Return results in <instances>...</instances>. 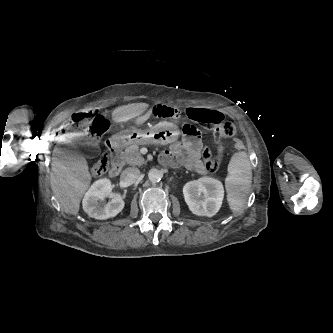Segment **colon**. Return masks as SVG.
<instances>
[{
	"label": "colon",
	"mask_w": 333,
	"mask_h": 333,
	"mask_svg": "<svg viewBox=\"0 0 333 333\" xmlns=\"http://www.w3.org/2000/svg\"><path fill=\"white\" fill-rule=\"evenodd\" d=\"M187 114L191 119L202 122V112L200 110L191 108L187 111ZM151 115L154 118H170L175 117L177 113L172 108L158 105L151 110ZM91 116L92 113L90 111L74 114L69 120L68 126L85 130L91 141L95 143L106 131L108 124L107 121L101 117L91 118ZM210 126L213 130V137L218 143H220L222 139L236 134V127L231 122H214ZM184 133L188 136L196 135L195 129L189 126L184 128ZM245 145V141L240 139L235 142L234 147L237 151H242ZM202 157L204 159L205 170L207 172H215L221 163L222 146L219 145L217 147L215 154H212L208 148H205L202 152ZM109 159L108 153H103L99 161L92 167V173L99 175L105 172L109 165Z\"/></svg>",
	"instance_id": "1"
}]
</instances>
